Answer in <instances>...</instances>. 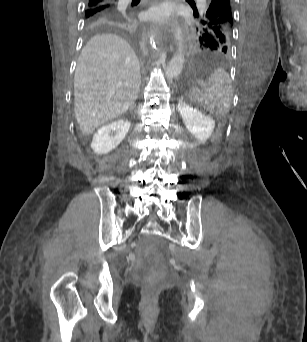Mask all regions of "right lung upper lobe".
I'll use <instances>...</instances> for the list:
<instances>
[{"instance_id": "obj_1", "label": "right lung upper lobe", "mask_w": 307, "mask_h": 342, "mask_svg": "<svg viewBox=\"0 0 307 342\" xmlns=\"http://www.w3.org/2000/svg\"><path fill=\"white\" fill-rule=\"evenodd\" d=\"M133 0L131 5L122 0H87L86 10L91 14L84 17L86 32H112L139 35L141 32L140 10Z\"/></svg>"}]
</instances>
